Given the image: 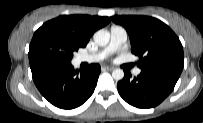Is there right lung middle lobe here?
I'll return each mask as SVG.
<instances>
[{
    "label": "right lung middle lobe",
    "mask_w": 203,
    "mask_h": 123,
    "mask_svg": "<svg viewBox=\"0 0 203 123\" xmlns=\"http://www.w3.org/2000/svg\"><path fill=\"white\" fill-rule=\"evenodd\" d=\"M80 46L63 29L43 24L35 33L29 47V62H57L71 64L73 53Z\"/></svg>",
    "instance_id": "1"
}]
</instances>
